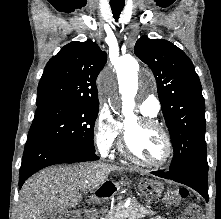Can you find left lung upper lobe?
<instances>
[{
	"instance_id": "5c2ea615",
	"label": "left lung upper lobe",
	"mask_w": 221,
	"mask_h": 219,
	"mask_svg": "<svg viewBox=\"0 0 221 219\" xmlns=\"http://www.w3.org/2000/svg\"><path fill=\"white\" fill-rule=\"evenodd\" d=\"M136 56L156 78L162 112L170 132L174 157L169 170L206 158L205 102L191 60L173 43L142 36Z\"/></svg>"
}]
</instances>
